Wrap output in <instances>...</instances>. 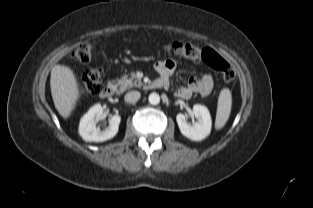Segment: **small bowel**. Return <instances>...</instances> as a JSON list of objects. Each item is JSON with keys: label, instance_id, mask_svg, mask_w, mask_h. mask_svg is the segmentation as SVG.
<instances>
[{"label": "small bowel", "instance_id": "1", "mask_svg": "<svg viewBox=\"0 0 313 208\" xmlns=\"http://www.w3.org/2000/svg\"><path fill=\"white\" fill-rule=\"evenodd\" d=\"M176 62L172 59L158 61L155 64V70L160 75V80L169 84V81L175 71ZM213 79L210 75L201 78L190 77L186 86L180 87L176 91V96L182 99H189L193 94L207 96L213 89Z\"/></svg>", "mask_w": 313, "mask_h": 208}]
</instances>
